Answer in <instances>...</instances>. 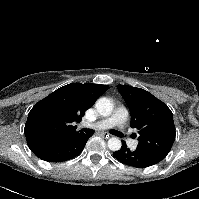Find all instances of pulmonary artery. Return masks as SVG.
Instances as JSON below:
<instances>
[{"instance_id":"e3ab8cb5","label":"pulmonary artery","mask_w":199,"mask_h":199,"mask_svg":"<svg viewBox=\"0 0 199 199\" xmlns=\"http://www.w3.org/2000/svg\"><path fill=\"white\" fill-rule=\"evenodd\" d=\"M128 118V111L124 106H119L114 109L113 114L105 118L101 121H98L94 124H88L89 127L91 128H111V127H117L118 130L123 133L124 135L127 134L125 130V125L126 121ZM128 145L132 148L135 149L137 146V142L132 140V139H126Z\"/></svg>"}]
</instances>
